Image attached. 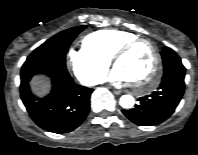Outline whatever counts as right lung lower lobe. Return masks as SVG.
Masks as SVG:
<instances>
[{"label": "right lung lower lobe", "mask_w": 198, "mask_h": 155, "mask_svg": "<svg viewBox=\"0 0 198 155\" xmlns=\"http://www.w3.org/2000/svg\"><path fill=\"white\" fill-rule=\"evenodd\" d=\"M36 74H46L52 81L51 93L45 98L34 96L29 87ZM93 89L77 85L63 63L34 60L21 69V99L33 121L54 133H68L76 129L90 109Z\"/></svg>", "instance_id": "1"}]
</instances>
